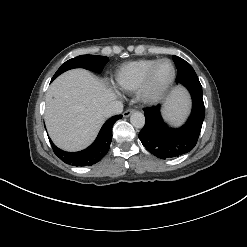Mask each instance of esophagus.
<instances>
[{
  "label": "esophagus",
  "mask_w": 247,
  "mask_h": 247,
  "mask_svg": "<svg viewBox=\"0 0 247 247\" xmlns=\"http://www.w3.org/2000/svg\"><path fill=\"white\" fill-rule=\"evenodd\" d=\"M133 112H134V109H127L126 111H124L123 116L129 117Z\"/></svg>",
  "instance_id": "1"
}]
</instances>
